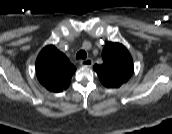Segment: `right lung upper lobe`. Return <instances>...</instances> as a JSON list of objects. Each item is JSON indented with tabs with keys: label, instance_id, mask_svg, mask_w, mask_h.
<instances>
[{
	"label": "right lung upper lobe",
	"instance_id": "obj_1",
	"mask_svg": "<svg viewBox=\"0 0 172 134\" xmlns=\"http://www.w3.org/2000/svg\"><path fill=\"white\" fill-rule=\"evenodd\" d=\"M75 71V66L54 45L44 47L36 59L37 78L52 92L66 90Z\"/></svg>",
	"mask_w": 172,
	"mask_h": 134
}]
</instances>
